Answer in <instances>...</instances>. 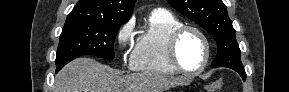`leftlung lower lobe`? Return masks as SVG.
<instances>
[{
	"mask_svg": "<svg viewBox=\"0 0 289 92\" xmlns=\"http://www.w3.org/2000/svg\"><path fill=\"white\" fill-rule=\"evenodd\" d=\"M235 71L238 72V74L242 77L243 81H245V79H246L245 70L244 69H237Z\"/></svg>",
	"mask_w": 289,
	"mask_h": 92,
	"instance_id": "obj_1",
	"label": "left lung lower lobe"
}]
</instances>
